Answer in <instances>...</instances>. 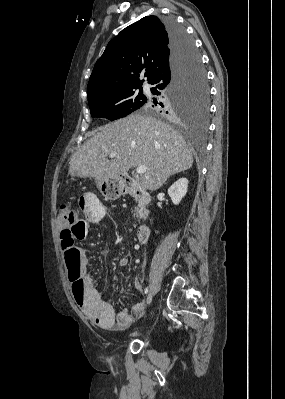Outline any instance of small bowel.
<instances>
[{
	"label": "small bowel",
	"instance_id": "1",
	"mask_svg": "<svg viewBox=\"0 0 285 399\" xmlns=\"http://www.w3.org/2000/svg\"><path fill=\"white\" fill-rule=\"evenodd\" d=\"M104 211V205L96 196H85L81 217L78 219L82 237L88 235L89 226L91 224L102 221L105 215ZM127 263L128 259L122 258L119 265L125 266ZM66 266L70 272L72 266L68 261H66ZM87 268V255L81 252L78 260V269L84 283V291L82 294L78 295L75 294V289L72 287L70 291L74 301L82 308L89 320L104 329L122 330L130 326L135 318L144 316L143 302L134 303L129 309H122L116 313L112 305L102 298L92 278L87 274ZM134 285L138 290H141L142 286L138 278L134 279Z\"/></svg>",
	"mask_w": 285,
	"mask_h": 399
}]
</instances>
